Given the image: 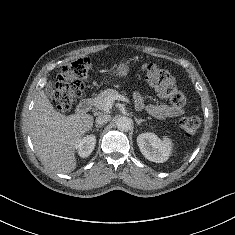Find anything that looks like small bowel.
<instances>
[{"instance_id":"c3829d8e","label":"small bowel","mask_w":235,"mask_h":235,"mask_svg":"<svg viewBox=\"0 0 235 235\" xmlns=\"http://www.w3.org/2000/svg\"><path fill=\"white\" fill-rule=\"evenodd\" d=\"M134 101L137 109H145L149 114L159 119L177 117L183 113V109L179 106L165 103H146L140 92L134 94Z\"/></svg>"}]
</instances>
